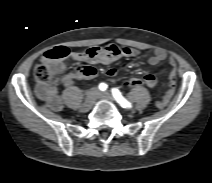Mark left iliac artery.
Masks as SVG:
<instances>
[{"label":"left iliac artery","mask_w":212,"mask_h":183,"mask_svg":"<svg viewBox=\"0 0 212 183\" xmlns=\"http://www.w3.org/2000/svg\"><path fill=\"white\" fill-rule=\"evenodd\" d=\"M112 95L114 97V99L123 107V108H130L132 107L131 103L128 102L121 94V92L116 89L113 88L112 89Z\"/></svg>","instance_id":"44dca946"}]
</instances>
